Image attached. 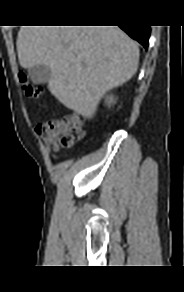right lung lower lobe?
I'll use <instances>...</instances> for the list:
<instances>
[{
    "instance_id": "right-lung-lower-lobe-1",
    "label": "right lung lower lobe",
    "mask_w": 184,
    "mask_h": 292,
    "mask_svg": "<svg viewBox=\"0 0 184 292\" xmlns=\"http://www.w3.org/2000/svg\"><path fill=\"white\" fill-rule=\"evenodd\" d=\"M131 38L138 41L145 49L148 48L150 37L149 26H120Z\"/></svg>"
}]
</instances>
